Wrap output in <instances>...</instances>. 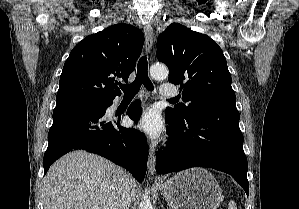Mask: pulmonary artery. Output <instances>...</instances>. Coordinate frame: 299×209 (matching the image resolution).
Wrapping results in <instances>:
<instances>
[{
    "label": "pulmonary artery",
    "instance_id": "1",
    "mask_svg": "<svg viewBox=\"0 0 299 209\" xmlns=\"http://www.w3.org/2000/svg\"><path fill=\"white\" fill-rule=\"evenodd\" d=\"M160 94L164 97H175L178 95V89L171 84H162Z\"/></svg>",
    "mask_w": 299,
    "mask_h": 209
}]
</instances>
